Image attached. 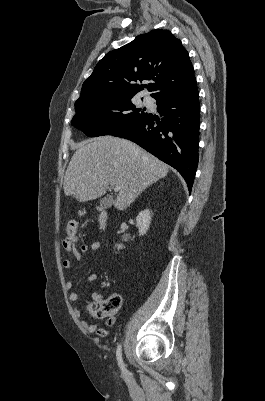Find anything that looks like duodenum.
Masks as SVG:
<instances>
[{"label": "duodenum", "instance_id": "obj_1", "mask_svg": "<svg viewBox=\"0 0 265 401\" xmlns=\"http://www.w3.org/2000/svg\"><path fill=\"white\" fill-rule=\"evenodd\" d=\"M109 214L105 209H101L100 215L98 217L99 226L101 229H105L108 223Z\"/></svg>", "mask_w": 265, "mask_h": 401}]
</instances>
